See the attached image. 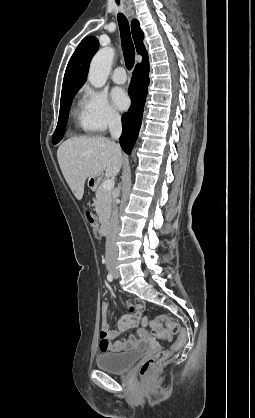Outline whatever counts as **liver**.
<instances>
[{
	"label": "liver",
	"mask_w": 255,
	"mask_h": 418,
	"mask_svg": "<svg viewBox=\"0 0 255 418\" xmlns=\"http://www.w3.org/2000/svg\"><path fill=\"white\" fill-rule=\"evenodd\" d=\"M57 159L68 186L81 200L87 178L104 171L114 178L125 158L120 146L106 137H75L59 146Z\"/></svg>",
	"instance_id": "1"
}]
</instances>
